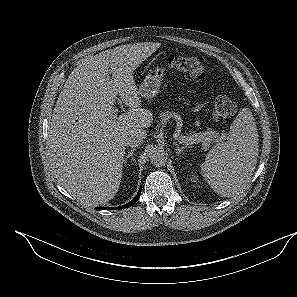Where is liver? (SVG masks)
<instances>
[{
	"mask_svg": "<svg viewBox=\"0 0 297 297\" xmlns=\"http://www.w3.org/2000/svg\"><path fill=\"white\" fill-rule=\"evenodd\" d=\"M160 46L127 44L91 56L71 72L59 94L48 129L49 157L59 183L86 206L114 198L125 137L133 132L146 136L153 117L141 108L133 72ZM118 95L129 107L119 116L114 108Z\"/></svg>",
	"mask_w": 297,
	"mask_h": 297,
	"instance_id": "6515ba94",
	"label": "liver"
}]
</instances>
